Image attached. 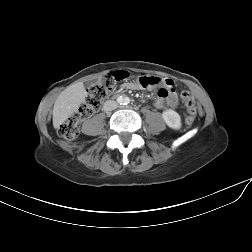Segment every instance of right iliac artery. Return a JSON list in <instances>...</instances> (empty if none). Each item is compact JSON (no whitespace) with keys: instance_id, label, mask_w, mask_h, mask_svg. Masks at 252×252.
Masks as SVG:
<instances>
[{"instance_id":"obj_1","label":"right iliac artery","mask_w":252,"mask_h":252,"mask_svg":"<svg viewBox=\"0 0 252 252\" xmlns=\"http://www.w3.org/2000/svg\"><path fill=\"white\" fill-rule=\"evenodd\" d=\"M119 102H122V99H119Z\"/></svg>"}]
</instances>
